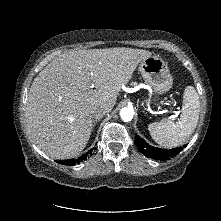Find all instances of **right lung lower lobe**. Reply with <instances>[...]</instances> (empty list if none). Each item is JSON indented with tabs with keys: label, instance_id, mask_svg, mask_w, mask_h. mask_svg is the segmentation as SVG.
<instances>
[{
	"label": "right lung lower lobe",
	"instance_id": "obj_1",
	"mask_svg": "<svg viewBox=\"0 0 221 221\" xmlns=\"http://www.w3.org/2000/svg\"><path fill=\"white\" fill-rule=\"evenodd\" d=\"M93 150L88 151L86 154H83L82 156L78 157V158H72V159H68V160H59L57 161L60 164H65L67 166H72L75 164H79L80 162L84 161L87 159L88 155H91Z\"/></svg>",
	"mask_w": 221,
	"mask_h": 221
}]
</instances>
